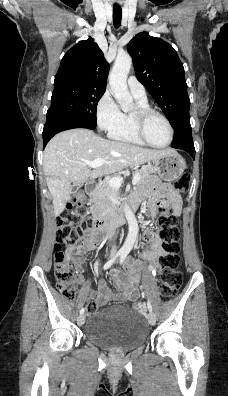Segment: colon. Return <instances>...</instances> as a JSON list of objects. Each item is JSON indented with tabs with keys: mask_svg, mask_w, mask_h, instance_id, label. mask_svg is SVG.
<instances>
[{
	"mask_svg": "<svg viewBox=\"0 0 228 396\" xmlns=\"http://www.w3.org/2000/svg\"><path fill=\"white\" fill-rule=\"evenodd\" d=\"M191 176L183 173L175 182V191L186 194L189 191ZM87 203L86 195L77 194L67 205L64 215L60 218L58 233L62 242H57L54 247V273L56 285L59 291L67 299H73L76 295L77 280L74 267L63 251L62 244L70 247L76 245L83 230L90 224L89 220H80L79 208ZM159 237L161 239L162 255L160 266L163 273L160 279L159 290L164 298L174 297L181 284L182 276L178 270V239L179 231L176 227V217L170 208L161 207L158 217ZM87 314H96L99 304L95 301L88 303Z\"/></svg>",
	"mask_w": 228,
	"mask_h": 396,
	"instance_id": "1",
	"label": "colon"
}]
</instances>
